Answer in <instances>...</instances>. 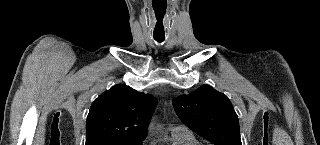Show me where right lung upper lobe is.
I'll use <instances>...</instances> for the list:
<instances>
[{
	"label": "right lung upper lobe",
	"mask_w": 320,
	"mask_h": 145,
	"mask_svg": "<svg viewBox=\"0 0 320 145\" xmlns=\"http://www.w3.org/2000/svg\"><path fill=\"white\" fill-rule=\"evenodd\" d=\"M157 99L124 84L101 94L87 116L86 145L104 140L138 141L147 136Z\"/></svg>",
	"instance_id": "right-lung-upper-lobe-1"
}]
</instances>
